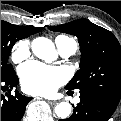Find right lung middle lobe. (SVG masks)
Masks as SVG:
<instances>
[{
    "label": "right lung middle lobe",
    "instance_id": "1",
    "mask_svg": "<svg viewBox=\"0 0 121 121\" xmlns=\"http://www.w3.org/2000/svg\"><path fill=\"white\" fill-rule=\"evenodd\" d=\"M28 36L25 27L12 25L1 20V76L14 70L12 65L8 64V58L14 43Z\"/></svg>",
    "mask_w": 121,
    "mask_h": 121
}]
</instances>
